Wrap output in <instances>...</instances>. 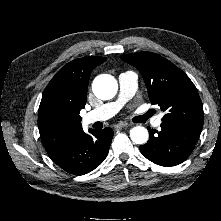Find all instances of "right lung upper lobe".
<instances>
[{
	"label": "right lung upper lobe",
	"instance_id": "right-lung-upper-lobe-1",
	"mask_svg": "<svg viewBox=\"0 0 221 221\" xmlns=\"http://www.w3.org/2000/svg\"><path fill=\"white\" fill-rule=\"evenodd\" d=\"M106 58L88 56L63 66L47 85L39 106L38 128L48 153L80 134L92 70Z\"/></svg>",
	"mask_w": 221,
	"mask_h": 221
}]
</instances>
